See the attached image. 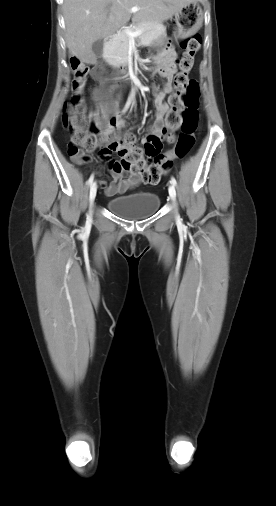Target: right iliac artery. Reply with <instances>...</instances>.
I'll return each instance as SVG.
<instances>
[{
	"mask_svg": "<svg viewBox=\"0 0 276 506\" xmlns=\"http://www.w3.org/2000/svg\"><path fill=\"white\" fill-rule=\"evenodd\" d=\"M131 100H132V95L129 97V99H128V101H127V103H126L125 107H124L123 112H125V111L129 108L130 103H131ZM93 179H94V176H93V175H91V176H90V178L88 179V185H89V186H91V184L93 183Z\"/></svg>",
	"mask_w": 276,
	"mask_h": 506,
	"instance_id": "right-iliac-artery-1",
	"label": "right iliac artery"
}]
</instances>
